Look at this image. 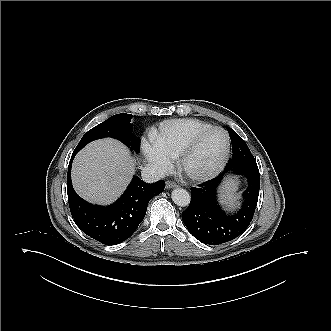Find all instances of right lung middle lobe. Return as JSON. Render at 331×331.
I'll use <instances>...</instances> for the list:
<instances>
[{"mask_svg":"<svg viewBox=\"0 0 331 331\" xmlns=\"http://www.w3.org/2000/svg\"><path fill=\"white\" fill-rule=\"evenodd\" d=\"M132 119L131 114H117L103 123L95 126L90 131H88L81 139L79 144L76 147V150L79 151L89 142L104 138V137H112L120 140L127 146H129L132 150L139 152L140 150V141L139 139H135L130 137L132 132V124L130 123Z\"/></svg>","mask_w":331,"mask_h":331,"instance_id":"dd1d6c3e","label":"right lung middle lobe"}]
</instances>
